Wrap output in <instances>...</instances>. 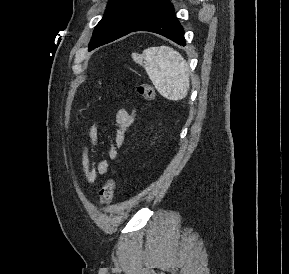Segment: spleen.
I'll use <instances>...</instances> for the list:
<instances>
[{
    "label": "spleen",
    "mask_w": 289,
    "mask_h": 274,
    "mask_svg": "<svg viewBox=\"0 0 289 274\" xmlns=\"http://www.w3.org/2000/svg\"><path fill=\"white\" fill-rule=\"evenodd\" d=\"M133 59L145 68L157 91L166 99L178 101L190 88L189 67L185 59L168 46L151 47Z\"/></svg>",
    "instance_id": "3e777b00"
}]
</instances>
